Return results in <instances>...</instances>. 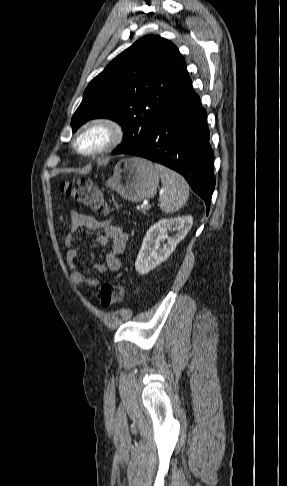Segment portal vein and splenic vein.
<instances>
[{"label": "portal vein and splenic vein", "mask_w": 287, "mask_h": 486, "mask_svg": "<svg viewBox=\"0 0 287 486\" xmlns=\"http://www.w3.org/2000/svg\"><path fill=\"white\" fill-rule=\"evenodd\" d=\"M141 208H144V209H149L150 208V205L148 202H143V204L141 205Z\"/></svg>", "instance_id": "portal-vein-and-splenic-vein-1"}]
</instances>
